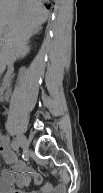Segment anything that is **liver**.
Returning a JSON list of instances; mask_svg holds the SVG:
<instances>
[{
  "mask_svg": "<svg viewBox=\"0 0 103 193\" xmlns=\"http://www.w3.org/2000/svg\"><path fill=\"white\" fill-rule=\"evenodd\" d=\"M48 11L40 0H0V31L4 35L1 68L30 51L29 39L41 29Z\"/></svg>",
  "mask_w": 103,
  "mask_h": 193,
  "instance_id": "6515ba94",
  "label": "liver"
}]
</instances>
